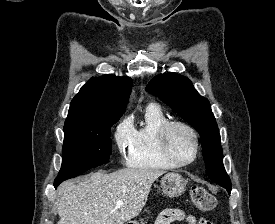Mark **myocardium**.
I'll list each match as a JSON object with an SVG mask.
<instances>
[{"label": "myocardium", "mask_w": 275, "mask_h": 224, "mask_svg": "<svg viewBox=\"0 0 275 224\" xmlns=\"http://www.w3.org/2000/svg\"><path fill=\"white\" fill-rule=\"evenodd\" d=\"M176 127L185 129L193 138L195 149H194V154L192 158H190L189 160L181 161L177 159L169 149V145H168L169 134L171 130ZM157 144L161 155L168 162H170L176 167H185L192 164L200 154V141L196 130L188 123L179 121V120L167 121L161 126L157 134Z\"/></svg>", "instance_id": "f54148a6"}]
</instances>
